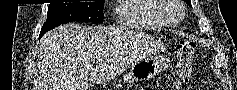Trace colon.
I'll return each instance as SVG.
<instances>
[{
	"label": "colon",
	"mask_w": 237,
	"mask_h": 90,
	"mask_svg": "<svg viewBox=\"0 0 237 90\" xmlns=\"http://www.w3.org/2000/svg\"><path fill=\"white\" fill-rule=\"evenodd\" d=\"M196 45L194 42L182 40L176 46V86L188 82L193 70Z\"/></svg>",
	"instance_id": "5ec220e1"
}]
</instances>
